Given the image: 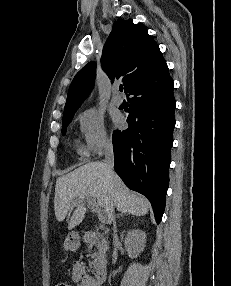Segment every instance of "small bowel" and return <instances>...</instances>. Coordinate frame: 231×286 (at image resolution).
Listing matches in <instances>:
<instances>
[{
    "label": "small bowel",
    "instance_id": "obj_1",
    "mask_svg": "<svg viewBox=\"0 0 231 286\" xmlns=\"http://www.w3.org/2000/svg\"><path fill=\"white\" fill-rule=\"evenodd\" d=\"M70 274L78 286H97L95 278L87 272L85 265L80 261L72 263Z\"/></svg>",
    "mask_w": 231,
    "mask_h": 286
}]
</instances>
